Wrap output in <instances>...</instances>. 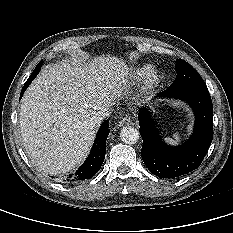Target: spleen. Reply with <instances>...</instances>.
<instances>
[{
  "label": "spleen",
  "mask_w": 233,
  "mask_h": 233,
  "mask_svg": "<svg viewBox=\"0 0 233 233\" xmlns=\"http://www.w3.org/2000/svg\"><path fill=\"white\" fill-rule=\"evenodd\" d=\"M181 136L179 132L175 133L173 135V138H166L165 141L170 143V144H178L181 141Z\"/></svg>",
  "instance_id": "1"
}]
</instances>
